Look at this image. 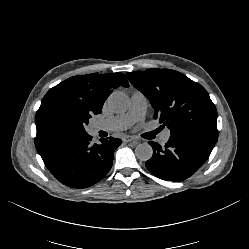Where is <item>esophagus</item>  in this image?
<instances>
[{
	"mask_svg": "<svg viewBox=\"0 0 249 249\" xmlns=\"http://www.w3.org/2000/svg\"><path fill=\"white\" fill-rule=\"evenodd\" d=\"M133 140H134V137L131 135H126V136L122 137V141H124V142H131Z\"/></svg>",
	"mask_w": 249,
	"mask_h": 249,
	"instance_id": "1",
	"label": "esophagus"
}]
</instances>
